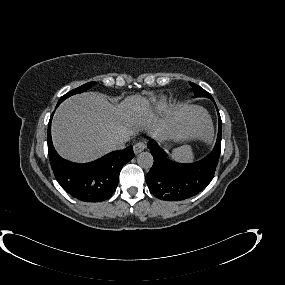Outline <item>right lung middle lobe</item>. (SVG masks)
<instances>
[{
	"label": "right lung middle lobe",
	"mask_w": 285,
	"mask_h": 285,
	"mask_svg": "<svg viewBox=\"0 0 285 285\" xmlns=\"http://www.w3.org/2000/svg\"><path fill=\"white\" fill-rule=\"evenodd\" d=\"M95 84V82H89V83H86L70 92H68L67 94H65L64 96H62L59 100V102H62L63 100H65L66 98L74 95V94H78V93H82L86 90H88L89 88H91L93 85Z\"/></svg>",
	"instance_id": "right-lung-middle-lobe-1"
}]
</instances>
